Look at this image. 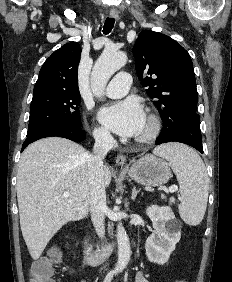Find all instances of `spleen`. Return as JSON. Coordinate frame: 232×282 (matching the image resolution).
Listing matches in <instances>:
<instances>
[{
  "label": "spleen",
  "instance_id": "3e777b00",
  "mask_svg": "<svg viewBox=\"0 0 232 282\" xmlns=\"http://www.w3.org/2000/svg\"><path fill=\"white\" fill-rule=\"evenodd\" d=\"M153 152L167 159L176 174L181 194L180 217L189 225H198L208 200V176L201 157L190 147L177 143L159 146Z\"/></svg>",
  "mask_w": 232,
  "mask_h": 282
}]
</instances>
